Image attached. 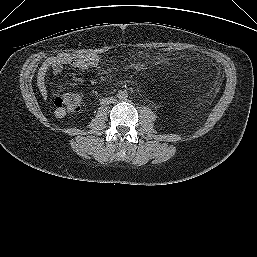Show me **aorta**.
Returning <instances> with one entry per match:
<instances>
[{
	"label": "aorta",
	"mask_w": 257,
	"mask_h": 257,
	"mask_svg": "<svg viewBox=\"0 0 257 257\" xmlns=\"http://www.w3.org/2000/svg\"><path fill=\"white\" fill-rule=\"evenodd\" d=\"M117 97H118L120 100H122V101L127 100V98H128V91H126V90H120V91H118Z\"/></svg>",
	"instance_id": "1"
}]
</instances>
